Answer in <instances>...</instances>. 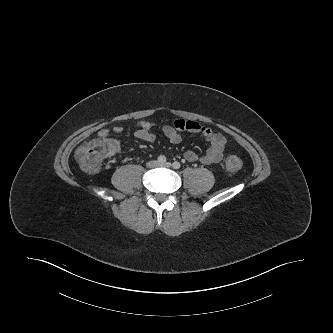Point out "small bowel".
Segmentation results:
<instances>
[{"label":"small bowel","instance_id":"c3829d8e","mask_svg":"<svg viewBox=\"0 0 333 333\" xmlns=\"http://www.w3.org/2000/svg\"><path fill=\"white\" fill-rule=\"evenodd\" d=\"M154 125L150 122L141 121L138 124V128L135 131V137L146 141L153 142L156 139V134L153 132ZM160 131L163 135L173 144H177L182 139V134L188 133L193 135H201L208 142L209 147L203 155H200L192 150H187L184 153V159L188 162H199L205 165L216 164L223 158L226 139L218 132L212 131L208 127L201 126L199 123L192 120L178 119L171 125H163L160 127ZM123 132V128L116 126L112 129L103 128L98 132V137L104 139L112 153L120 151L119 143L110 138L112 133L120 134Z\"/></svg>","mask_w":333,"mask_h":333}]
</instances>
